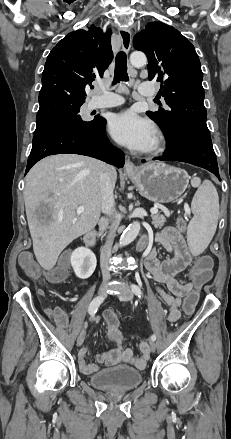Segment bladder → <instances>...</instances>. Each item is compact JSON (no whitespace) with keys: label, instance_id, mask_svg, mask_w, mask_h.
Masks as SVG:
<instances>
[{"label":"bladder","instance_id":"obj_1","mask_svg":"<svg viewBox=\"0 0 231 439\" xmlns=\"http://www.w3.org/2000/svg\"><path fill=\"white\" fill-rule=\"evenodd\" d=\"M142 380V373L128 366L104 369L88 377V382L93 387L109 391L132 390L138 387Z\"/></svg>","mask_w":231,"mask_h":439}]
</instances>
